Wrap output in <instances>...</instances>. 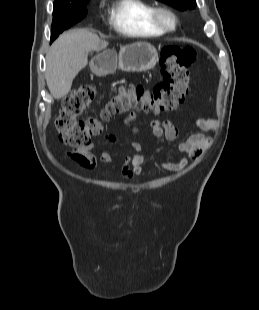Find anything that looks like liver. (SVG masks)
<instances>
[{
	"label": "liver",
	"instance_id": "obj_1",
	"mask_svg": "<svg viewBox=\"0 0 259 310\" xmlns=\"http://www.w3.org/2000/svg\"><path fill=\"white\" fill-rule=\"evenodd\" d=\"M107 46L108 42L87 29H74L60 35L46 55V82L52 96L65 97L76 75L88 64V53Z\"/></svg>",
	"mask_w": 259,
	"mask_h": 310
}]
</instances>
